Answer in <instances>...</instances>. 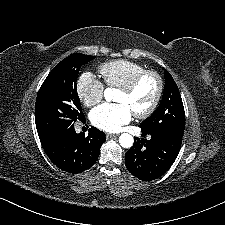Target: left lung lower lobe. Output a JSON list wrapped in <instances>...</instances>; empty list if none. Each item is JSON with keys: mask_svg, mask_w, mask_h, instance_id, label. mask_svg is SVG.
<instances>
[{"mask_svg": "<svg viewBox=\"0 0 225 225\" xmlns=\"http://www.w3.org/2000/svg\"><path fill=\"white\" fill-rule=\"evenodd\" d=\"M151 135L150 140L137 138L125 154L129 172L142 181H151L170 169L177 158L182 135L170 132L143 130L142 135Z\"/></svg>", "mask_w": 225, "mask_h": 225, "instance_id": "obj_1", "label": "left lung lower lobe"}]
</instances>
